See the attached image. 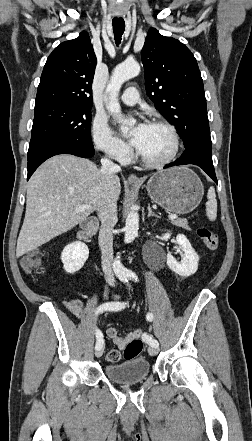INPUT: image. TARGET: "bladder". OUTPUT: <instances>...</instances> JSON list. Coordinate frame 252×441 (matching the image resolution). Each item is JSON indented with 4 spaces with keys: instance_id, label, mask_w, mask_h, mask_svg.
<instances>
[{
    "instance_id": "31cf9c89",
    "label": "bladder",
    "mask_w": 252,
    "mask_h": 441,
    "mask_svg": "<svg viewBox=\"0 0 252 441\" xmlns=\"http://www.w3.org/2000/svg\"><path fill=\"white\" fill-rule=\"evenodd\" d=\"M149 373L150 363L144 357L126 359L123 362L110 363L105 366L106 377L120 384L142 381Z\"/></svg>"
}]
</instances>
